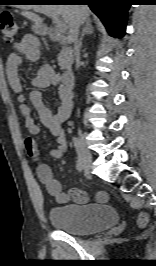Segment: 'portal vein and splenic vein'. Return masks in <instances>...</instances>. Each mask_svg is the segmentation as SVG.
Listing matches in <instances>:
<instances>
[{"label": "portal vein and splenic vein", "instance_id": "obj_1", "mask_svg": "<svg viewBox=\"0 0 156 266\" xmlns=\"http://www.w3.org/2000/svg\"><path fill=\"white\" fill-rule=\"evenodd\" d=\"M43 14L48 15L52 18L53 22L56 25V28L60 31V32H65L67 30V25L65 22L61 21V19L59 18V16L55 13H51V12H47V11H42Z\"/></svg>", "mask_w": 156, "mask_h": 266}]
</instances>
